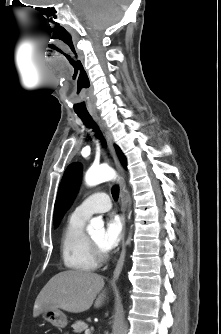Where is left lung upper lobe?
Returning a JSON list of instances; mask_svg holds the SVG:
<instances>
[{
  "label": "left lung upper lobe",
  "mask_w": 221,
  "mask_h": 334,
  "mask_svg": "<svg viewBox=\"0 0 221 334\" xmlns=\"http://www.w3.org/2000/svg\"><path fill=\"white\" fill-rule=\"evenodd\" d=\"M116 151L121 162L124 166H126V158L117 146ZM81 170V165L75 162L70 164L64 173L55 202L54 226L58 225L59 220L61 219L65 210L70 206L78 191L81 178Z\"/></svg>",
  "instance_id": "left-lung-upper-lobe-1"
}]
</instances>
